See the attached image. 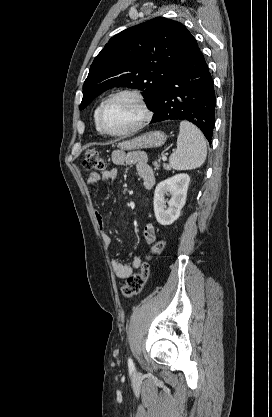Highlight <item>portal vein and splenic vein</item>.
Returning <instances> with one entry per match:
<instances>
[{"mask_svg":"<svg viewBox=\"0 0 272 417\" xmlns=\"http://www.w3.org/2000/svg\"><path fill=\"white\" fill-rule=\"evenodd\" d=\"M166 159H167L166 156L165 155H162V160L163 161H166Z\"/></svg>","mask_w":272,"mask_h":417,"instance_id":"18ae733b","label":"portal vein and splenic vein"}]
</instances>
